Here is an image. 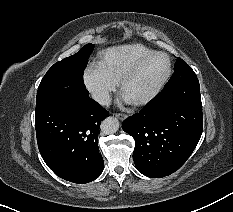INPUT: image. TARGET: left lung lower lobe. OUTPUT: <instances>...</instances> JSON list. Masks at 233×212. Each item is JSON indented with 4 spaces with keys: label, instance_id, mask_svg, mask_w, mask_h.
Here are the masks:
<instances>
[{
    "label": "left lung lower lobe",
    "instance_id": "0a47b994",
    "mask_svg": "<svg viewBox=\"0 0 233 212\" xmlns=\"http://www.w3.org/2000/svg\"><path fill=\"white\" fill-rule=\"evenodd\" d=\"M202 103L196 76L180 78L122 124L135 140L133 160L145 176L161 178L178 170L202 134Z\"/></svg>",
    "mask_w": 233,
    "mask_h": 212
}]
</instances>
